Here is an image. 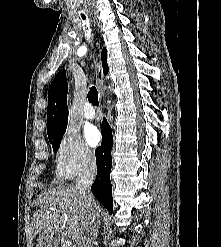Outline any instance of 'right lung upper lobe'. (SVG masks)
<instances>
[{
    "mask_svg": "<svg viewBox=\"0 0 221 247\" xmlns=\"http://www.w3.org/2000/svg\"><path fill=\"white\" fill-rule=\"evenodd\" d=\"M107 51L103 48L101 53L104 75L108 72ZM67 89L66 72L61 70L48 90V108H47V134L48 138L55 137L66 131L68 122L67 109Z\"/></svg>",
    "mask_w": 221,
    "mask_h": 247,
    "instance_id": "right-lung-upper-lobe-1",
    "label": "right lung upper lobe"
}]
</instances>
